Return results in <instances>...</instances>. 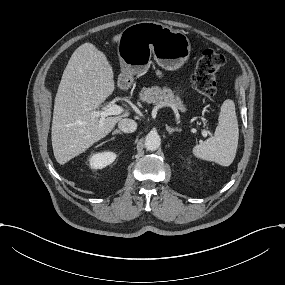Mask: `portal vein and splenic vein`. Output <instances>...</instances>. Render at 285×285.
<instances>
[{
	"label": "portal vein and splenic vein",
	"instance_id": "1",
	"mask_svg": "<svg viewBox=\"0 0 285 285\" xmlns=\"http://www.w3.org/2000/svg\"><path fill=\"white\" fill-rule=\"evenodd\" d=\"M88 112L90 115L94 118H99L100 127L104 124V119L106 117L112 116V115H118L121 112V108L116 103H111L110 106L104 110H91L88 109ZM202 135L204 138L208 136V131L206 129L202 130Z\"/></svg>",
	"mask_w": 285,
	"mask_h": 285
}]
</instances>
